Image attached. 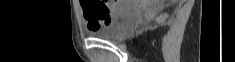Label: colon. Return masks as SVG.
Instances as JSON below:
<instances>
[{"label": "colon", "mask_w": 235, "mask_h": 62, "mask_svg": "<svg viewBox=\"0 0 235 62\" xmlns=\"http://www.w3.org/2000/svg\"><path fill=\"white\" fill-rule=\"evenodd\" d=\"M82 3L85 15L89 18H94L97 23H107L111 20L109 8L104 2L83 0Z\"/></svg>", "instance_id": "5ec220e1"}]
</instances>
